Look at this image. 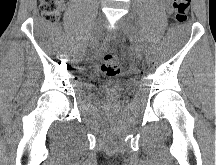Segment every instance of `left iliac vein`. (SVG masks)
Returning <instances> with one entry per match:
<instances>
[{
  "label": "left iliac vein",
  "mask_w": 216,
  "mask_h": 165,
  "mask_svg": "<svg viewBox=\"0 0 216 165\" xmlns=\"http://www.w3.org/2000/svg\"><path fill=\"white\" fill-rule=\"evenodd\" d=\"M119 25L131 41L135 54L138 57H142L144 48L132 19L129 16H123L119 21Z\"/></svg>",
  "instance_id": "left-iliac-vein-1"
}]
</instances>
